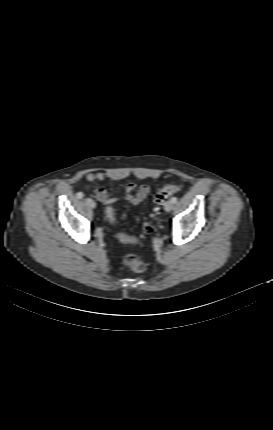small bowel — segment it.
I'll return each instance as SVG.
<instances>
[{"mask_svg":"<svg viewBox=\"0 0 273 430\" xmlns=\"http://www.w3.org/2000/svg\"><path fill=\"white\" fill-rule=\"evenodd\" d=\"M105 178L106 174L102 171L87 174V180L89 182L103 181ZM157 185L158 183L154 184V186ZM151 188L152 187L147 184L136 185L134 183H127L124 185V200L134 205L139 204L147 198L148 194L151 191ZM95 196L97 200L102 204L106 205L107 208L111 207V205L118 201V198L110 196L103 186H96ZM120 240L123 242H128L131 241V238L126 235H123Z\"/></svg>","mask_w":273,"mask_h":430,"instance_id":"c3829d8e","label":"small bowel"}]
</instances>
